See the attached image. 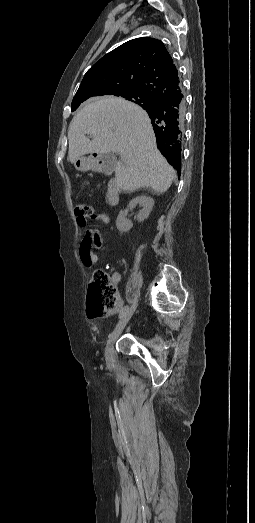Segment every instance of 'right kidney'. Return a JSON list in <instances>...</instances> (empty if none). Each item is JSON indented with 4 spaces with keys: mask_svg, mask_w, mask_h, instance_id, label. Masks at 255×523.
Here are the masks:
<instances>
[{
    "mask_svg": "<svg viewBox=\"0 0 255 523\" xmlns=\"http://www.w3.org/2000/svg\"><path fill=\"white\" fill-rule=\"evenodd\" d=\"M137 204H140L142 206L143 210H140L137 220L138 222H143V220H146L148 218L153 206H154V200L153 198H149V196H146V194H142V196H137V198H133L131 202L128 204V208H135ZM126 212H119L116 220V226L117 230L119 232H128L130 228H132L133 224L130 222V220H127L125 218Z\"/></svg>",
    "mask_w": 255,
    "mask_h": 523,
    "instance_id": "ca27d5eb",
    "label": "right kidney"
}]
</instances>
